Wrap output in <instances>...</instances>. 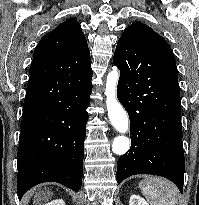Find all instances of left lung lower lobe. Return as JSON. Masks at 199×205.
<instances>
[{
	"label": "left lung lower lobe",
	"instance_id": "1",
	"mask_svg": "<svg viewBox=\"0 0 199 205\" xmlns=\"http://www.w3.org/2000/svg\"><path fill=\"white\" fill-rule=\"evenodd\" d=\"M117 97L130 118L131 147L117 163V182L136 174L165 177L183 192L184 152L178 73L155 47L124 33L113 58Z\"/></svg>",
	"mask_w": 199,
	"mask_h": 205
}]
</instances>
